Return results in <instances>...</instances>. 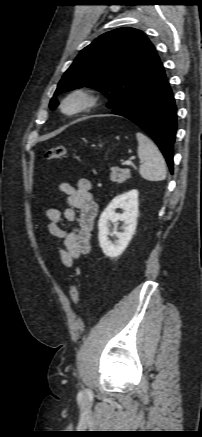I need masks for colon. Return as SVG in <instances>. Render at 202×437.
I'll use <instances>...</instances> for the list:
<instances>
[{
	"mask_svg": "<svg viewBox=\"0 0 202 437\" xmlns=\"http://www.w3.org/2000/svg\"><path fill=\"white\" fill-rule=\"evenodd\" d=\"M67 154V148L63 145L50 147L44 152V158L47 160H56L64 157ZM69 296L73 304H77L80 300V290L76 284L70 287Z\"/></svg>",
	"mask_w": 202,
	"mask_h": 437,
	"instance_id": "1",
	"label": "colon"
}]
</instances>
